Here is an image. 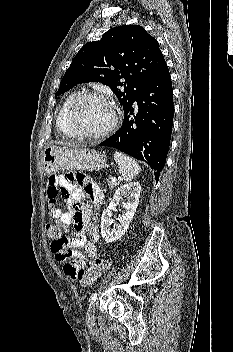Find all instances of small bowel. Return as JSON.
<instances>
[{
  "instance_id": "small-bowel-1",
  "label": "small bowel",
  "mask_w": 233,
  "mask_h": 352,
  "mask_svg": "<svg viewBox=\"0 0 233 352\" xmlns=\"http://www.w3.org/2000/svg\"><path fill=\"white\" fill-rule=\"evenodd\" d=\"M59 197L68 207L67 211L58 207ZM103 197L100 188L83 174L68 172L49 178L47 199L51 222L72 233L66 246L53 242L51 250L55 259L63 265L64 273L72 279H76L78 271L84 267L86 255L92 259L99 255L96 247L99 229L91 223L90 209L84 200L88 198L99 205ZM81 248L86 254L80 251Z\"/></svg>"
}]
</instances>
